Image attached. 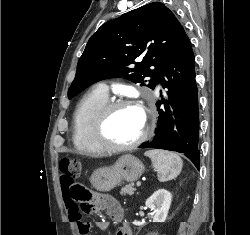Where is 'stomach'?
I'll return each instance as SVG.
<instances>
[{
	"instance_id": "0dacf381",
	"label": "stomach",
	"mask_w": 250,
	"mask_h": 235,
	"mask_svg": "<svg viewBox=\"0 0 250 235\" xmlns=\"http://www.w3.org/2000/svg\"><path fill=\"white\" fill-rule=\"evenodd\" d=\"M144 170L143 163L137 157L125 154L114 165L97 169L91 176V183L97 191L109 192L123 181L138 180Z\"/></svg>"
}]
</instances>
